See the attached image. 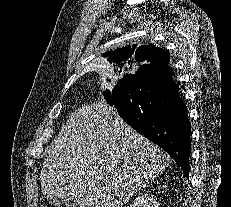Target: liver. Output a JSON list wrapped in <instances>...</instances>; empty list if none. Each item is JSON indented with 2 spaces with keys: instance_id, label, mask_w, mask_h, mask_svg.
<instances>
[{
  "instance_id": "obj_1",
  "label": "liver",
  "mask_w": 231,
  "mask_h": 207,
  "mask_svg": "<svg viewBox=\"0 0 231 207\" xmlns=\"http://www.w3.org/2000/svg\"><path fill=\"white\" fill-rule=\"evenodd\" d=\"M158 146L103 101L71 114L40 172L50 199L72 196L79 207H122L169 164Z\"/></svg>"
}]
</instances>
